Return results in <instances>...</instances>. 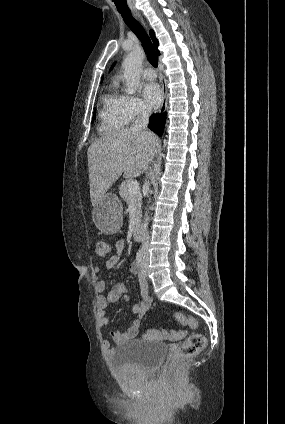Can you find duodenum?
<instances>
[{"instance_id": "obj_1", "label": "duodenum", "mask_w": 285, "mask_h": 424, "mask_svg": "<svg viewBox=\"0 0 285 424\" xmlns=\"http://www.w3.org/2000/svg\"><path fill=\"white\" fill-rule=\"evenodd\" d=\"M133 239L135 241H141V239H142V227H141L140 224H137L135 226V229L133 231Z\"/></svg>"}]
</instances>
